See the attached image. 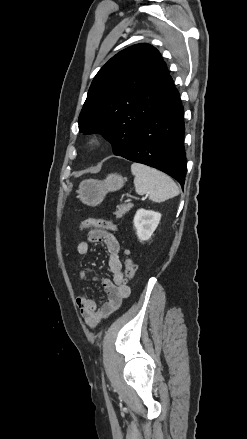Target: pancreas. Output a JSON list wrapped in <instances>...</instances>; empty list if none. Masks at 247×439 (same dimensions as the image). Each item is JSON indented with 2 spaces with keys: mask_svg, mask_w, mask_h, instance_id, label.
I'll return each mask as SVG.
<instances>
[{
  "mask_svg": "<svg viewBox=\"0 0 247 439\" xmlns=\"http://www.w3.org/2000/svg\"><path fill=\"white\" fill-rule=\"evenodd\" d=\"M132 204H121L117 206V210L113 213L116 215L117 218H121L123 215H125L127 212H129L132 209Z\"/></svg>",
  "mask_w": 247,
  "mask_h": 439,
  "instance_id": "1",
  "label": "pancreas"
}]
</instances>
